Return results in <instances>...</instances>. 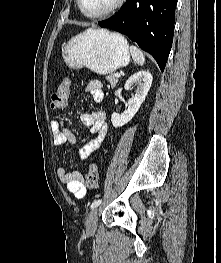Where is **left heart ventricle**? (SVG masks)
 Here are the masks:
<instances>
[{"mask_svg":"<svg viewBox=\"0 0 221 263\" xmlns=\"http://www.w3.org/2000/svg\"><path fill=\"white\" fill-rule=\"evenodd\" d=\"M117 0H82L83 7L88 13L96 14L111 7Z\"/></svg>","mask_w":221,"mask_h":263,"instance_id":"1","label":"left heart ventricle"}]
</instances>
